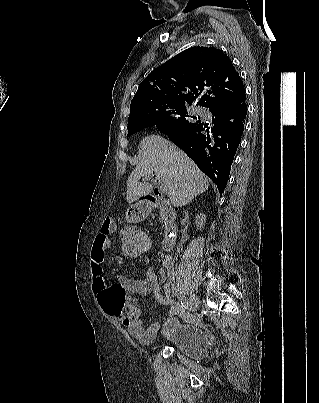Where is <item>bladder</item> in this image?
Returning a JSON list of instances; mask_svg holds the SVG:
<instances>
[{"mask_svg":"<svg viewBox=\"0 0 319 403\" xmlns=\"http://www.w3.org/2000/svg\"><path fill=\"white\" fill-rule=\"evenodd\" d=\"M161 341L175 352L200 361L206 356V332L193 325H182L176 316L164 319L160 325Z\"/></svg>","mask_w":319,"mask_h":403,"instance_id":"1","label":"bladder"}]
</instances>
